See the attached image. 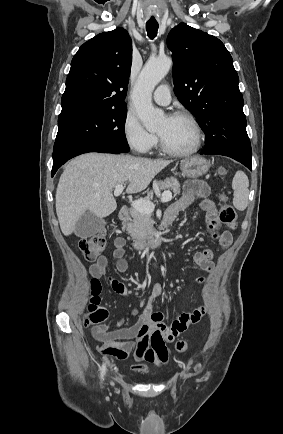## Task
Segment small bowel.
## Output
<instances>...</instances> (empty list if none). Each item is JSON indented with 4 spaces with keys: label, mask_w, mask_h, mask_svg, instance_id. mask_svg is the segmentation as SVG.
I'll list each match as a JSON object with an SVG mask.
<instances>
[{
    "label": "small bowel",
    "mask_w": 283,
    "mask_h": 434,
    "mask_svg": "<svg viewBox=\"0 0 283 434\" xmlns=\"http://www.w3.org/2000/svg\"><path fill=\"white\" fill-rule=\"evenodd\" d=\"M209 196V187L201 181L188 182L179 200L165 213L164 221L167 224L173 222L183 210L191 206L196 200L200 201V207L205 212L208 220V230L211 237L221 247L227 248L232 243V234L228 230L221 229L217 207ZM126 241L123 237L114 240L113 255L117 259L116 269L124 273L128 269V263L124 258ZM213 251L204 248L193 255L194 262L206 272L212 271ZM89 273L94 279L106 277L112 290L118 294L128 293L125 285L108 274V261L105 256H99L97 261L89 267ZM199 284L204 283V278H198ZM162 293L160 285L155 284L151 290L148 305L139 319L131 326L124 327L123 320L115 324V328L106 325L91 328L93 338L103 345L100 352L105 356L125 360L131 354L137 362H150L164 365L168 361L167 342H172L186 328L199 322L206 313L204 306H199L188 313L180 314L170 325L164 323V315L161 312H152L151 303ZM145 366L138 365L136 369L144 370Z\"/></svg>",
    "instance_id": "obj_1"
}]
</instances>
